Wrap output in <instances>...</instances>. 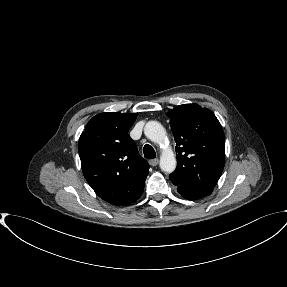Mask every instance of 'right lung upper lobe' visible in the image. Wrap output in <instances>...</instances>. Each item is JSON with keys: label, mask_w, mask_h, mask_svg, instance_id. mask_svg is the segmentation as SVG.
<instances>
[{"label": "right lung upper lobe", "mask_w": 287, "mask_h": 287, "mask_svg": "<svg viewBox=\"0 0 287 287\" xmlns=\"http://www.w3.org/2000/svg\"><path fill=\"white\" fill-rule=\"evenodd\" d=\"M137 114L105 112L94 116L81 134L78 151L89 185L104 201L127 205L140 198L149 164L128 135Z\"/></svg>", "instance_id": "cb5924a9"}]
</instances>
